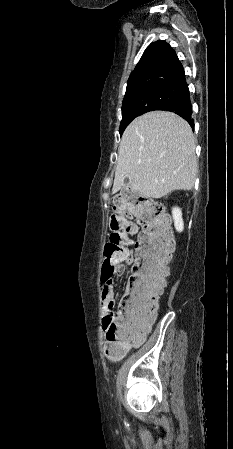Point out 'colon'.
Returning a JSON list of instances; mask_svg holds the SVG:
<instances>
[{"label": "colon", "mask_w": 233, "mask_h": 449, "mask_svg": "<svg viewBox=\"0 0 233 449\" xmlns=\"http://www.w3.org/2000/svg\"><path fill=\"white\" fill-rule=\"evenodd\" d=\"M116 207L117 215L111 220L112 233L105 245L102 276L130 254L127 245L133 231V217H137L142 231L124 301L118 312L110 309L103 319L105 352L111 359L122 356L127 346L134 342L139 323L156 315L174 248L169 218L161 202L136 193H124L116 201Z\"/></svg>", "instance_id": "obj_1"}]
</instances>
